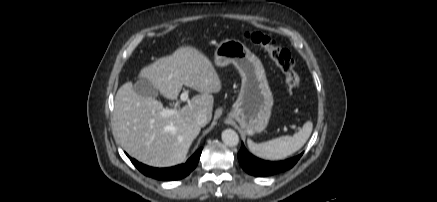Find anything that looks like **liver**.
<instances>
[{
    "label": "liver",
    "mask_w": 437,
    "mask_h": 202,
    "mask_svg": "<svg viewBox=\"0 0 437 202\" xmlns=\"http://www.w3.org/2000/svg\"><path fill=\"white\" fill-rule=\"evenodd\" d=\"M139 78L149 80L160 94L177 99L182 86L200 95L194 96L176 113L163 116V104L153 97L138 95L132 82L123 84L114 100V130L123 149L138 161L154 167H170L184 161L201 130L196 122L200 113L212 118L214 97L221 80L212 62L200 50L181 46L141 69Z\"/></svg>",
    "instance_id": "1"
}]
</instances>
